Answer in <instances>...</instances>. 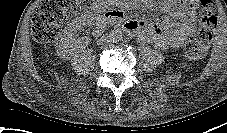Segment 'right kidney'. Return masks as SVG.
Returning <instances> with one entry per match:
<instances>
[{"instance_id":"right-kidney-1","label":"right kidney","mask_w":227,"mask_h":133,"mask_svg":"<svg viewBox=\"0 0 227 133\" xmlns=\"http://www.w3.org/2000/svg\"><path fill=\"white\" fill-rule=\"evenodd\" d=\"M86 25L85 20L80 18H76L72 20L68 24V26L64 30L63 36H61L59 43H57V54L60 56V58H63L64 60L70 59L69 55L73 54V46H77L82 43L79 39H75L77 30H81L82 27ZM70 48V49H69Z\"/></svg>"}]
</instances>
